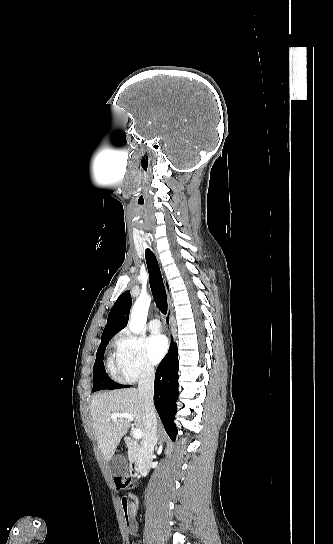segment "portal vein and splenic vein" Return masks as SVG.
I'll return each instance as SVG.
<instances>
[{
	"mask_svg": "<svg viewBox=\"0 0 333 544\" xmlns=\"http://www.w3.org/2000/svg\"><path fill=\"white\" fill-rule=\"evenodd\" d=\"M110 418L112 420H115L116 418H125V419H128L131 422L134 421V416L132 414H129V413H112ZM132 435H133V437L135 439H141L143 437V432H142L141 429L135 428L132 431Z\"/></svg>",
	"mask_w": 333,
	"mask_h": 544,
	"instance_id": "portal-vein-and-splenic-vein-1",
	"label": "portal vein and splenic vein"
}]
</instances>
